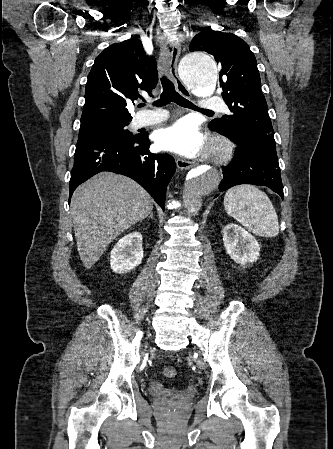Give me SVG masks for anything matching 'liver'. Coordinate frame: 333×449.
<instances>
[{
    "label": "liver",
    "mask_w": 333,
    "mask_h": 449,
    "mask_svg": "<svg viewBox=\"0 0 333 449\" xmlns=\"http://www.w3.org/2000/svg\"><path fill=\"white\" fill-rule=\"evenodd\" d=\"M153 199L134 180L102 172L80 185L73 193V216L77 250L90 269L108 245L153 210Z\"/></svg>",
    "instance_id": "obj_1"
}]
</instances>
